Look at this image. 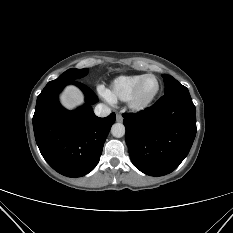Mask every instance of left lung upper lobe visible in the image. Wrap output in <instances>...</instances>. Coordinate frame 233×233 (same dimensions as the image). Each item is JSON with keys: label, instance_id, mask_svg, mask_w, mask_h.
<instances>
[{"label": "left lung upper lobe", "instance_id": "1", "mask_svg": "<svg viewBox=\"0 0 233 233\" xmlns=\"http://www.w3.org/2000/svg\"><path fill=\"white\" fill-rule=\"evenodd\" d=\"M165 83V94L173 91L187 89L185 86L181 85L174 77L170 75L163 74Z\"/></svg>", "mask_w": 233, "mask_h": 233}]
</instances>
